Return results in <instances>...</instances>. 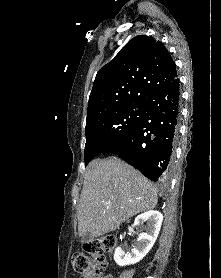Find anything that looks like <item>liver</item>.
Here are the masks:
<instances>
[{
    "label": "liver",
    "instance_id": "obj_1",
    "mask_svg": "<svg viewBox=\"0 0 221 278\" xmlns=\"http://www.w3.org/2000/svg\"><path fill=\"white\" fill-rule=\"evenodd\" d=\"M154 185L117 157L88 165L77 208L78 233L100 237L115 231L129 218L155 208Z\"/></svg>",
    "mask_w": 221,
    "mask_h": 278
}]
</instances>
